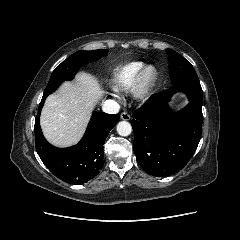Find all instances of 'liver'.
Listing matches in <instances>:
<instances>
[{
    "instance_id": "liver-1",
    "label": "liver",
    "mask_w": 240,
    "mask_h": 240,
    "mask_svg": "<svg viewBox=\"0 0 240 240\" xmlns=\"http://www.w3.org/2000/svg\"><path fill=\"white\" fill-rule=\"evenodd\" d=\"M102 96L98 81L85 72L78 73L75 82H64L57 93L47 97L42 109L40 124L45 138L57 147L78 143Z\"/></svg>"
}]
</instances>
